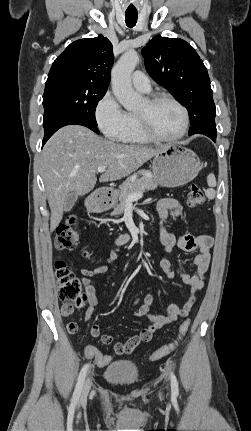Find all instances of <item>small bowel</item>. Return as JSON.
Here are the masks:
<instances>
[{"mask_svg":"<svg viewBox=\"0 0 251 431\" xmlns=\"http://www.w3.org/2000/svg\"><path fill=\"white\" fill-rule=\"evenodd\" d=\"M154 213L159 221L158 237L166 254H168L173 248H179L186 252H197L193 260L195 273H180V278L190 288V294L182 306H177L175 304L169 305L165 314L152 312L153 297L151 293H147L145 295L144 303L141 305H139L138 299L134 300L133 304L137 308L133 312V315L136 317H146L149 324L138 335L130 337L125 342L115 343L113 350L116 355L129 354L133 352L141 343L150 341L152 335L158 329L175 322L180 317H186L190 313L197 299L198 291L204 286V280L211 258L210 250L213 244L212 238L204 234L195 235L190 233H182L177 236L163 227L161 223L163 220L182 219L184 217V205L177 199L168 198L159 200L154 205ZM117 258L118 252L114 251L106 258L103 265L97 266L93 269L81 268L79 270L81 282L85 287L88 302V307L85 311L86 321L91 320L95 307L98 304L97 291L95 286L92 284L91 278L107 273L110 270V264ZM159 265L168 278H175L176 274L171 269V262L167 256L161 258ZM69 315H71V313L65 316ZM70 324L67 326L68 332L70 334H75L77 332V326L75 325L74 329H70ZM90 334L104 345L111 344L115 340L113 335L101 334L100 325L98 323L92 324ZM75 350L79 353L82 349L78 346ZM95 350L97 351L98 349L96 348ZM85 351L86 350L84 348V354ZM76 360H84V355H76Z\"/></svg>","mask_w":251,"mask_h":431,"instance_id":"1","label":"small bowel"}]
</instances>
